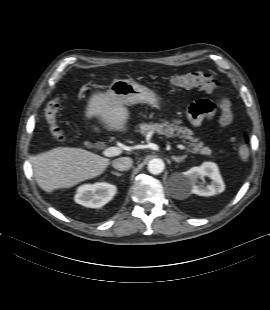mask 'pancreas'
<instances>
[{
    "label": "pancreas",
    "mask_w": 270,
    "mask_h": 310,
    "mask_svg": "<svg viewBox=\"0 0 270 310\" xmlns=\"http://www.w3.org/2000/svg\"><path fill=\"white\" fill-rule=\"evenodd\" d=\"M180 121H174L173 123H142L139 126V132L141 134H147L148 132H157L158 134L165 135L166 137H175L183 139L182 141L187 143L190 152L201 155H212V150L205 146L203 142L199 141V138L193 137V132L187 127L180 126ZM187 140V141H186Z\"/></svg>",
    "instance_id": "pancreas-1"
}]
</instances>
